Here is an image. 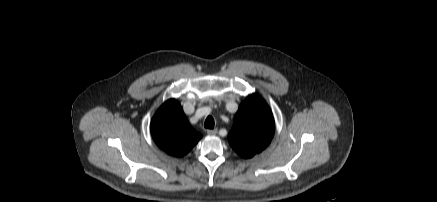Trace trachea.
Listing matches in <instances>:
<instances>
[{
	"mask_svg": "<svg viewBox=\"0 0 437 202\" xmlns=\"http://www.w3.org/2000/svg\"><path fill=\"white\" fill-rule=\"evenodd\" d=\"M214 124L215 123H214L213 117L212 116H208L206 118V120H205L204 127L207 128V129H213L214 128Z\"/></svg>",
	"mask_w": 437,
	"mask_h": 202,
	"instance_id": "1",
	"label": "trachea"
}]
</instances>
